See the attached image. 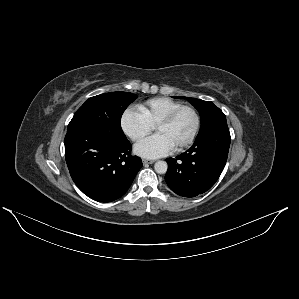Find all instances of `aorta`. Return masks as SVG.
I'll return each instance as SVG.
<instances>
[{"mask_svg":"<svg viewBox=\"0 0 299 299\" xmlns=\"http://www.w3.org/2000/svg\"><path fill=\"white\" fill-rule=\"evenodd\" d=\"M154 169L158 174H164L167 172L168 165L165 161H157L154 165Z\"/></svg>","mask_w":299,"mask_h":299,"instance_id":"aorta-1","label":"aorta"}]
</instances>
